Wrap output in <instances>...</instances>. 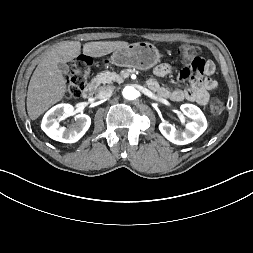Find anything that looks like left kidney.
<instances>
[{"instance_id":"5707ae66","label":"left kidney","mask_w":253,"mask_h":253,"mask_svg":"<svg viewBox=\"0 0 253 253\" xmlns=\"http://www.w3.org/2000/svg\"><path fill=\"white\" fill-rule=\"evenodd\" d=\"M180 109L192 120L187 123L185 130H176L173 125L167 122L160 123L159 130L170 142L185 145L196 140L207 129V120L200 108L193 104H182Z\"/></svg>"}]
</instances>
